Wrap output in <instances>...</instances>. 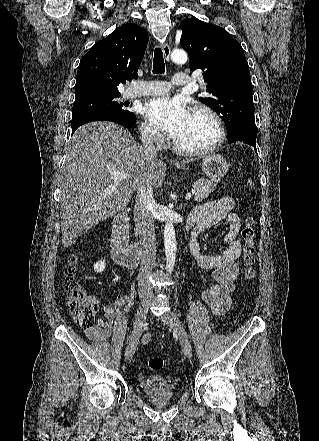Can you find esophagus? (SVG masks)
Instances as JSON below:
<instances>
[{"mask_svg":"<svg viewBox=\"0 0 319 441\" xmlns=\"http://www.w3.org/2000/svg\"><path fill=\"white\" fill-rule=\"evenodd\" d=\"M162 50H163V54H164V58L167 62L170 61V54H171V49L168 43H164L162 45Z\"/></svg>","mask_w":319,"mask_h":441,"instance_id":"1","label":"esophagus"}]
</instances>
